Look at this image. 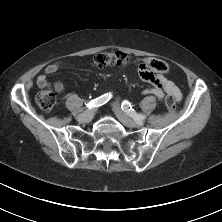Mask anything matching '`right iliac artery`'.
<instances>
[{
	"label": "right iliac artery",
	"mask_w": 222,
	"mask_h": 222,
	"mask_svg": "<svg viewBox=\"0 0 222 222\" xmlns=\"http://www.w3.org/2000/svg\"><path fill=\"white\" fill-rule=\"evenodd\" d=\"M111 97H112L111 93H106V94H103V95H101L100 97H98L96 99L91 100L86 105H87L88 108L99 107V106H102L105 103H107L111 99Z\"/></svg>",
	"instance_id": "1"
}]
</instances>
